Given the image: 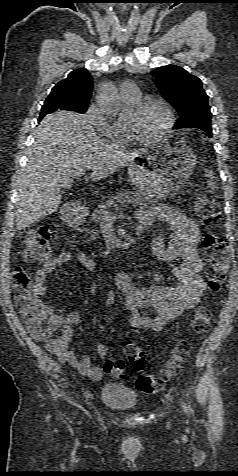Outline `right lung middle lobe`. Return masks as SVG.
I'll use <instances>...</instances> for the list:
<instances>
[{"mask_svg": "<svg viewBox=\"0 0 238 476\" xmlns=\"http://www.w3.org/2000/svg\"><path fill=\"white\" fill-rule=\"evenodd\" d=\"M87 105H76L70 103L65 97L54 94L53 96H48L44 105L42 106L40 119L45 116L46 114L54 111L60 110H67V111H75L78 113H84L87 110Z\"/></svg>", "mask_w": 238, "mask_h": 476, "instance_id": "dd1d6c3e", "label": "right lung middle lobe"}]
</instances>
